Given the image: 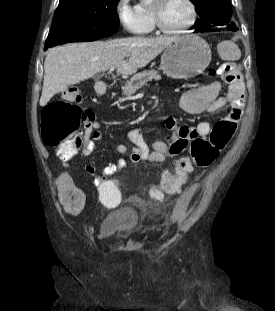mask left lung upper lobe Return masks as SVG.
Wrapping results in <instances>:
<instances>
[{"label": "left lung upper lobe", "instance_id": "obj_1", "mask_svg": "<svg viewBox=\"0 0 275 311\" xmlns=\"http://www.w3.org/2000/svg\"><path fill=\"white\" fill-rule=\"evenodd\" d=\"M201 17L194 26L198 31L209 30L212 26L227 25L231 31L238 28L231 22L232 8L229 0H190Z\"/></svg>", "mask_w": 275, "mask_h": 311}]
</instances>
